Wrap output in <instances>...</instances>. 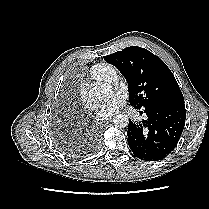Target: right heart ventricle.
<instances>
[{
  "label": "right heart ventricle",
  "mask_w": 209,
  "mask_h": 209,
  "mask_svg": "<svg viewBox=\"0 0 209 209\" xmlns=\"http://www.w3.org/2000/svg\"><path fill=\"white\" fill-rule=\"evenodd\" d=\"M115 72V69L113 66L106 64V63H100L97 65H94L90 71L89 75L91 78L101 81V82H109L110 75Z\"/></svg>",
  "instance_id": "1"
}]
</instances>
